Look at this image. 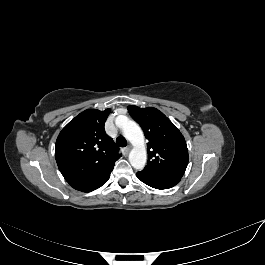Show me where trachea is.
<instances>
[{
    "label": "trachea",
    "instance_id": "1",
    "mask_svg": "<svg viewBox=\"0 0 265 265\" xmlns=\"http://www.w3.org/2000/svg\"><path fill=\"white\" fill-rule=\"evenodd\" d=\"M116 144L119 146V147H125L127 145V141L124 137L122 136H119L117 137L116 139Z\"/></svg>",
    "mask_w": 265,
    "mask_h": 265
}]
</instances>
